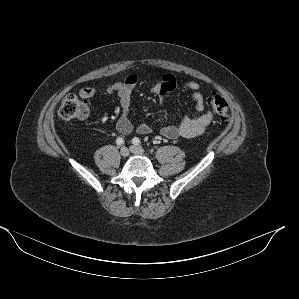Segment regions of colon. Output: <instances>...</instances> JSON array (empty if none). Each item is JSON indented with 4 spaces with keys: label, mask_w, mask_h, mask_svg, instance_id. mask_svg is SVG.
<instances>
[{
    "label": "colon",
    "mask_w": 299,
    "mask_h": 299,
    "mask_svg": "<svg viewBox=\"0 0 299 299\" xmlns=\"http://www.w3.org/2000/svg\"><path fill=\"white\" fill-rule=\"evenodd\" d=\"M209 103L217 113L220 120L228 124L230 122L229 106L227 101L220 95L210 96ZM89 105L74 94H68L62 100L58 110V116L67 121H81L89 115Z\"/></svg>",
    "instance_id": "1"
}]
</instances>
